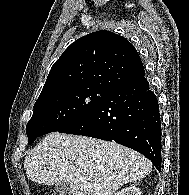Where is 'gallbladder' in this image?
I'll return each mask as SVG.
<instances>
[{"instance_id": "obj_1", "label": "gallbladder", "mask_w": 189, "mask_h": 195, "mask_svg": "<svg viewBox=\"0 0 189 195\" xmlns=\"http://www.w3.org/2000/svg\"><path fill=\"white\" fill-rule=\"evenodd\" d=\"M54 189L57 193H59V195H71V190L68 183L58 182L55 184Z\"/></svg>"}]
</instances>
